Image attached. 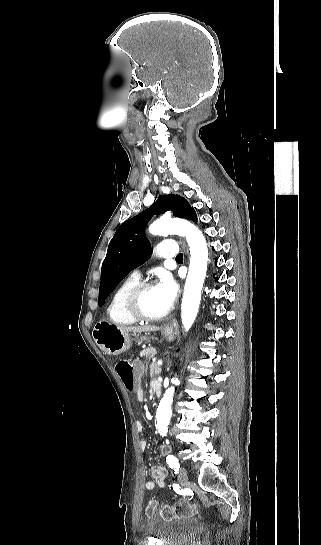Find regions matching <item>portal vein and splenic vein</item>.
<instances>
[{"instance_id":"18ae733b","label":"portal vein and splenic vein","mask_w":321,"mask_h":545,"mask_svg":"<svg viewBox=\"0 0 321 545\" xmlns=\"http://www.w3.org/2000/svg\"><path fill=\"white\" fill-rule=\"evenodd\" d=\"M162 359H159L158 363H157V366H162Z\"/></svg>"}]
</instances>
